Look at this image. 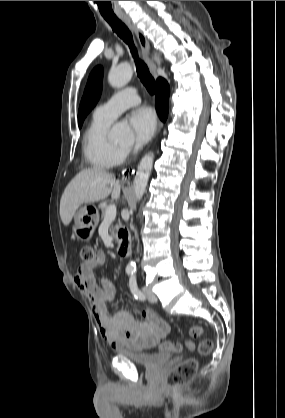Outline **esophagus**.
<instances>
[{"label": "esophagus", "instance_id": "1", "mask_svg": "<svg viewBox=\"0 0 285 418\" xmlns=\"http://www.w3.org/2000/svg\"><path fill=\"white\" fill-rule=\"evenodd\" d=\"M119 18L135 33L140 44L144 60L154 78L158 77L156 66L150 57V45L142 30L132 21V19L125 14L119 15ZM162 123H159L157 131L162 128Z\"/></svg>", "mask_w": 285, "mask_h": 418}]
</instances>
